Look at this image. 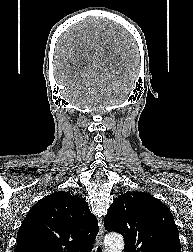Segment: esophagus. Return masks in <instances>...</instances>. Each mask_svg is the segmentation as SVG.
Wrapping results in <instances>:
<instances>
[{"mask_svg": "<svg viewBox=\"0 0 193 252\" xmlns=\"http://www.w3.org/2000/svg\"><path fill=\"white\" fill-rule=\"evenodd\" d=\"M104 233H105V228L103 225H101L99 232L97 234L96 244L101 248L102 252H105L104 246H103Z\"/></svg>", "mask_w": 193, "mask_h": 252, "instance_id": "obj_1", "label": "esophagus"}]
</instances>
